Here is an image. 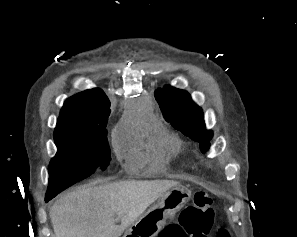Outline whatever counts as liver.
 I'll list each match as a JSON object with an SVG mask.
<instances>
[{
	"instance_id": "obj_1",
	"label": "liver",
	"mask_w": 297,
	"mask_h": 237,
	"mask_svg": "<svg viewBox=\"0 0 297 237\" xmlns=\"http://www.w3.org/2000/svg\"><path fill=\"white\" fill-rule=\"evenodd\" d=\"M178 184L152 180L80 187L51 207L54 237H119L150 204Z\"/></svg>"
}]
</instances>
